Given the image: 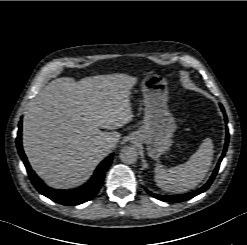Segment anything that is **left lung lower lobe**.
<instances>
[{
    "instance_id": "0a47b994",
    "label": "left lung lower lobe",
    "mask_w": 247,
    "mask_h": 245,
    "mask_svg": "<svg viewBox=\"0 0 247 245\" xmlns=\"http://www.w3.org/2000/svg\"><path fill=\"white\" fill-rule=\"evenodd\" d=\"M220 107H221V110L222 112L225 114L224 112V108L223 106L220 104ZM225 121L227 122V117L225 116ZM228 143H229V132L228 130H226V142H225V147H224V152L222 154V156L220 157L219 161H218V164L211 176V178L209 179V181L203 186L201 187L200 189H198L197 191H194L192 193H189V194H185V195H178V196H158V195H155L151 192L148 191V193L150 195H152L153 197L159 199V200H162V201H165V202H182V201H185V200H188V199H191L197 195H199L200 193L206 191L209 186L211 185V183L213 182L218 170H219V165H220V162L222 161L223 157L225 156V153H226V150H227V147H228Z\"/></svg>"
}]
</instances>
